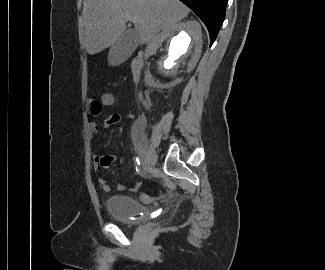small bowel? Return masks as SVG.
Wrapping results in <instances>:
<instances>
[{"label": "small bowel", "mask_w": 325, "mask_h": 270, "mask_svg": "<svg viewBox=\"0 0 325 270\" xmlns=\"http://www.w3.org/2000/svg\"><path fill=\"white\" fill-rule=\"evenodd\" d=\"M102 96H114V95L111 92H104L102 94ZM112 105H114V103H99V100L92 99L88 103V113L92 117H97L102 113V111L105 107H110ZM119 121H120V115L118 113H114V114L108 116L104 120L103 125L105 127H112V126L117 125L119 123ZM98 130H99V125L94 121L90 122L89 132H90L91 136L96 135L98 133ZM119 159H120V157L117 155H111L106 152H101L100 154L94 156V163H95L96 167H101V168L107 169L112 165V163H114L115 161H117ZM99 182H100L104 191L109 192L111 190V186L108 184V181L105 177H101L99 179ZM140 187H141V184L139 182H137L131 186L130 190L133 192H138L140 190ZM126 189H127V187L124 184H119L117 186V190L119 192H123ZM142 199L144 201L150 200V198L147 194H143Z\"/></svg>", "instance_id": "c3829d8e"}]
</instances>
